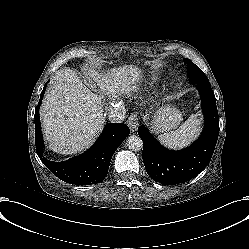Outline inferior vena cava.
I'll return each instance as SVG.
<instances>
[{
  "mask_svg": "<svg viewBox=\"0 0 249 249\" xmlns=\"http://www.w3.org/2000/svg\"><path fill=\"white\" fill-rule=\"evenodd\" d=\"M107 117L112 123H120L126 118V109L120 102H112L107 107Z\"/></svg>",
  "mask_w": 249,
  "mask_h": 249,
  "instance_id": "obj_1",
  "label": "inferior vena cava"
}]
</instances>
